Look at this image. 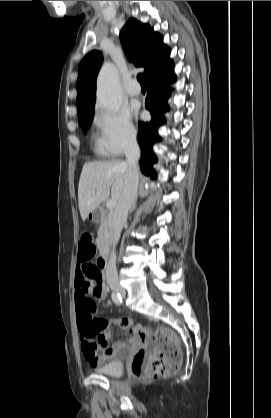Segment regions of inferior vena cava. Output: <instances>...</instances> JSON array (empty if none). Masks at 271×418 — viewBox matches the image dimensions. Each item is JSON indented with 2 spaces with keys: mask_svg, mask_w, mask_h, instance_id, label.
<instances>
[{
  "mask_svg": "<svg viewBox=\"0 0 271 418\" xmlns=\"http://www.w3.org/2000/svg\"><path fill=\"white\" fill-rule=\"evenodd\" d=\"M140 147L136 139H133L125 150L126 156V177L121 197L114 209L112 217V226L114 232L113 251L106 266V280L108 284H118V275L116 269L115 246L120 238L123 225L126 223L128 211L136 197L138 188V160L140 158Z\"/></svg>",
  "mask_w": 271,
  "mask_h": 418,
  "instance_id": "obj_1",
  "label": "inferior vena cava"
}]
</instances>
